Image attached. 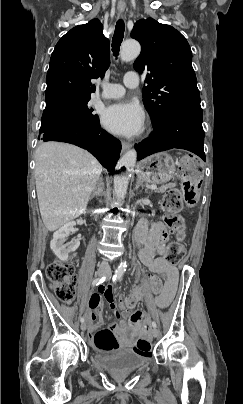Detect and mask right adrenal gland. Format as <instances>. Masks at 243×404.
Here are the masks:
<instances>
[{
	"label": "right adrenal gland",
	"mask_w": 243,
	"mask_h": 404,
	"mask_svg": "<svg viewBox=\"0 0 243 404\" xmlns=\"http://www.w3.org/2000/svg\"><path fill=\"white\" fill-rule=\"evenodd\" d=\"M103 190H104V182L102 178H100V180H98L97 186H95V190H93L90 196V200H93V198H98V196H101V194H103Z\"/></svg>",
	"instance_id": "right-adrenal-gland-1"
}]
</instances>
